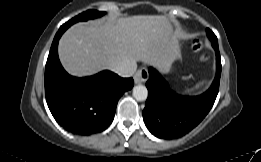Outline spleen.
<instances>
[{
	"label": "spleen",
	"instance_id": "3e777b00",
	"mask_svg": "<svg viewBox=\"0 0 261 162\" xmlns=\"http://www.w3.org/2000/svg\"><path fill=\"white\" fill-rule=\"evenodd\" d=\"M202 85H204V81L196 84V86L191 88V89L185 90L183 93L184 94H190V93L194 92L195 90L199 89Z\"/></svg>",
	"mask_w": 261,
	"mask_h": 162
}]
</instances>
